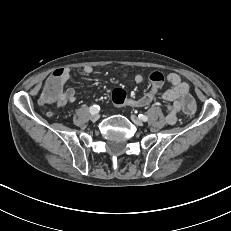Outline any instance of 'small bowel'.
Instances as JSON below:
<instances>
[{
	"label": "small bowel",
	"instance_id": "obj_1",
	"mask_svg": "<svg viewBox=\"0 0 231 231\" xmlns=\"http://www.w3.org/2000/svg\"><path fill=\"white\" fill-rule=\"evenodd\" d=\"M64 72V77L59 82L60 90L57 100L55 101L57 106L62 107L66 103H72L76 101L77 94L73 88H68L64 90V86L70 78L71 69L70 68H60ZM81 71L84 74H92L93 68L91 66H84L81 68ZM123 77L126 78L127 74H123ZM149 80L151 82V89L143 94L138 98H130L127 99L126 104L133 106V107H145L148 106L154 99L155 95L157 94L158 90L162 87L164 83V77L159 72H154L150 75ZM134 81L137 84H144L146 78L142 74H137L134 76ZM166 81L169 84V88L163 92L162 99L166 103L167 108V115L166 121L168 124L172 125L175 124L177 121V115L180 111H183L179 107V96L182 93L189 94V85L188 83L181 80V77L174 72L169 73L166 76Z\"/></svg>",
	"mask_w": 231,
	"mask_h": 231
}]
</instances>
